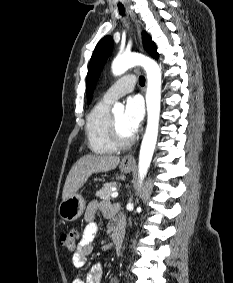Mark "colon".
<instances>
[{"label":"colon","instance_id":"colon-1","mask_svg":"<svg viewBox=\"0 0 233 283\" xmlns=\"http://www.w3.org/2000/svg\"><path fill=\"white\" fill-rule=\"evenodd\" d=\"M78 238H79L78 230L71 229L60 236L59 242L61 246H63L64 248L74 249L77 244Z\"/></svg>","mask_w":233,"mask_h":283}]
</instances>
